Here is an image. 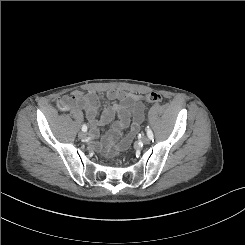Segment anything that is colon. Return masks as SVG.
Instances as JSON below:
<instances>
[{"instance_id": "5ec220e1", "label": "colon", "mask_w": 245, "mask_h": 245, "mask_svg": "<svg viewBox=\"0 0 245 245\" xmlns=\"http://www.w3.org/2000/svg\"><path fill=\"white\" fill-rule=\"evenodd\" d=\"M143 100L148 103H159L162 100V96L155 92H150L143 96ZM84 102V96L80 93H74L70 96L63 97L60 102L59 106L61 109H68L71 107L80 106ZM108 163H112V161L108 160Z\"/></svg>"}]
</instances>
